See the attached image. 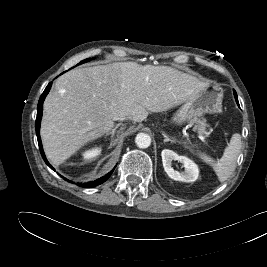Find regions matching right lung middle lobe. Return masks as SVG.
<instances>
[{
  "label": "right lung middle lobe",
  "instance_id": "dd1d6c3e",
  "mask_svg": "<svg viewBox=\"0 0 267 267\" xmlns=\"http://www.w3.org/2000/svg\"><path fill=\"white\" fill-rule=\"evenodd\" d=\"M89 60H90V58H89V59H85V60L81 61L79 64H82V63L87 62V61H89ZM79 64H78V65H79Z\"/></svg>",
  "mask_w": 267,
  "mask_h": 267
}]
</instances>
